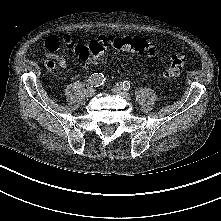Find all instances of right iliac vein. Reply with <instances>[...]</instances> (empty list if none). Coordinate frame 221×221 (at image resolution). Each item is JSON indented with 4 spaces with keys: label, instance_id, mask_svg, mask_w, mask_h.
<instances>
[{
    "label": "right iliac vein",
    "instance_id": "63e3f726",
    "mask_svg": "<svg viewBox=\"0 0 221 221\" xmlns=\"http://www.w3.org/2000/svg\"><path fill=\"white\" fill-rule=\"evenodd\" d=\"M85 94L87 97H92L95 94V89L87 88V90L85 91Z\"/></svg>",
    "mask_w": 221,
    "mask_h": 221
}]
</instances>
